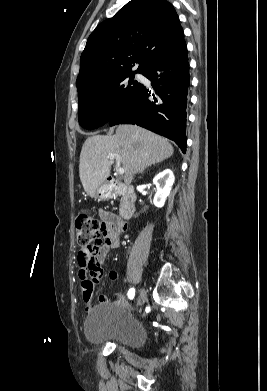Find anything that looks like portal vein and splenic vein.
<instances>
[{
	"label": "portal vein and splenic vein",
	"mask_w": 267,
	"mask_h": 391,
	"mask_svg": "<svg viewBox=\"0 0 267 391\" xmlns=\"http://www.w3.org/2000/svg\"><path fill=\"white\" fill-rule=\"evenodd\" d=\"M109 158L110 159H116L117 162H120V156L118 154H110ZM124 172H125V169L123 167H119L117 169V173L120 174V175L124 174Z\"/></svg>",
	"instance_id": "18ae733b"
}]
</instances>
